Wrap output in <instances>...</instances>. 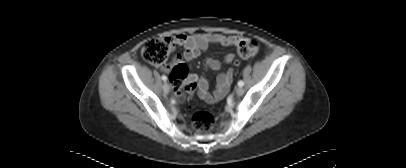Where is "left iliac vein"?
I'll list each match as a JSON object with an SVG mask.
<instances>
[{"label": "left iliac vein", "mask_w": 406, "mask_h": 168, "mask_svg": "<svg viewBox=\"0 0 406 168\" xmlns=\"http://www.w3.org/2000/svg\"><path fill=\"white\" fill-rule=\"evenodd\" d=\"M236 94H237L238 96H242V95L244 94V89H243L242 87H238V88L236 89Z\"/></svg>", "instance_id": "left-iliac-vein-1"}]
</instances>
